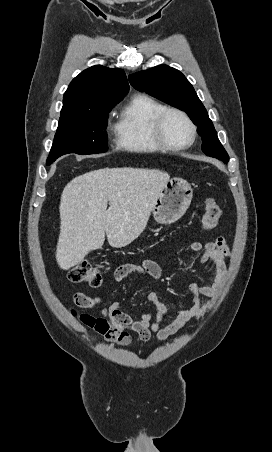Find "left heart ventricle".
Here are the masks:
<instances>
[{"label":"left heart ventricle","instance_id":"left-heart-ventricle-1","mask_svg":"<svg viewBox=\"0 0 272 452\" xmlns=\"http://www.w3.org/2000/svg\"><path fill=\"white\" fill-rule=\"evenodd\" d=\"M164 134L173 144L186 143L190 139V129L185 120L175 113H168L163 123Z\"/></svg>","mask_w":272,"mask_h":452}]
</instances>
